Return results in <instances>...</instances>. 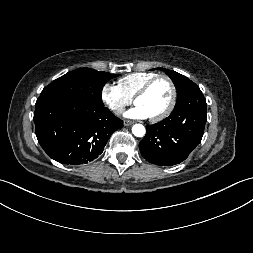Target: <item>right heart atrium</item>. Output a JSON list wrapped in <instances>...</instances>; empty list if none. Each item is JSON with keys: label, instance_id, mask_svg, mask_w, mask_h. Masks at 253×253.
I'll use <instances>...</instances> for the list:
<instances>
[{"label": "right heart atrium", "instance_id": "obj_1", "mask_svg": "<svg viewBox=\"0 0 253 253\" xmlns=\"http://www.w3.org/2000/svg\"><path fill=\"white\" fill-rule=\"evenodd\" d=\"M100 95L104 104L115 114H120L132 103V98L125 94L118 84H104Z\"/></svg>", "mask_w": 253, "mask_h": 253}]
</instances>
